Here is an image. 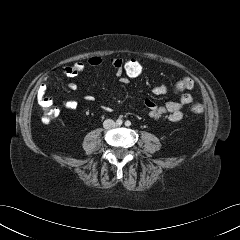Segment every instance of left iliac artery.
I'll return each instance as SVG.
<instances>
[{"label": "left iliac artery", "mask_w": 240, "mask_h": 240, "mask_svg": "<svg viewBox=\"0 0 240 240\" xmlns=\"http://www.w3.org/2000/svg\"><path fill=\"white\" fill-rule=\"evenodd\" d=\"M125 125L129 127V126L131 125V122H130L129 120H127V121L125 122Z\"/></svg>", "instance_id": "obj_1"}]
</instances>
